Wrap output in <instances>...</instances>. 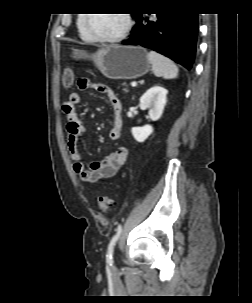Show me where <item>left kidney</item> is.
<instances>
[{
	"label": "left kidney",
	"instance_id": "5707ae66",
	"mask_svg": "<svg viewBox=\"0 0 252 303\" xmlns=\"http://www.w3.org/2000/svg\"><path fill=\"white\" fill-rule=\"evenodd\" d=\"M167 94L168 91L164 87L155 85L140 97V108L149 109L148 114L152 121H157L161 117L166 105ZM131 133L137 142H144L153 133V127L151 125L133 127Z\"/></svg>",
	"mask_w": 252,
	"mask_h": 303
}]
</instances>
